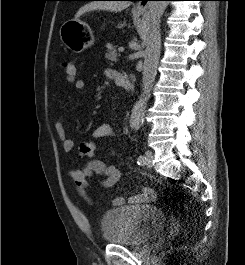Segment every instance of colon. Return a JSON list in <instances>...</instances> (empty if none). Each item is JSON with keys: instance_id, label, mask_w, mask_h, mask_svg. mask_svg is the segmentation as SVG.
Wrapping results in <instances>:
<instances>
[{"instance_id": "colon-1", "label": "colon", "mask_w": 245, "mask_h": 265, "mask_svg": "<svg viewBox=\"0 0 245 265\" xmlns=\"http://www.w3.org/2000/svg\"><path fill=\"white\" fill-rule=\"evenodd\" d=\"M62 68L69 81H74L78 75V68L73 61H64ZM80 154L85 157H92L95 153V144L91 141H85L80 144Z\"/></svg>"}]
</instances>
